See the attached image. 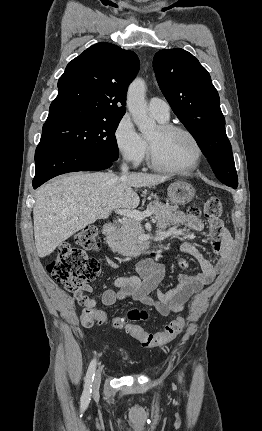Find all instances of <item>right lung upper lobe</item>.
<instances>
[{
  "instance_id": "1",
  "label": "right lung upper lobe",
  "mask_w": 262,
  "mask_h": 431,
  "mask_svg": "<svg viewBox=\"0 0 262 431\" xmlns=\"http://www.w3.org/2000/svg\"><path fill=\"white\" fill-rule=\"evenodd\" d=\"M138 70L133 51L107 42L92 45L67 65L44 125L123 117L127 87Z\"/></svg>"
}]
</instances>
